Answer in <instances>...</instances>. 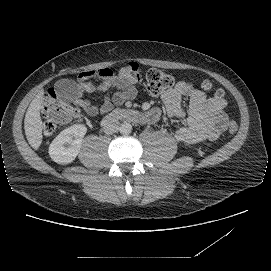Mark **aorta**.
I'll return each mask as SVG.
<instances>
[{
  "mask_svg": "<svg viewBox=\"0 0 271 271\" xmlns=\"http://www.w3.org/2000/svg\"><path fill=\"white\" fill-rule=\"evenodd\" d=\"M119 131L123 135H129L132 132V125L128 122H123L119 128Z\"/></svg>",
  "mask_w": 271,
  "mask_h": 271,
  "instance_id": "aorta-1",
  "label": "aorta"
}]
</instances>
